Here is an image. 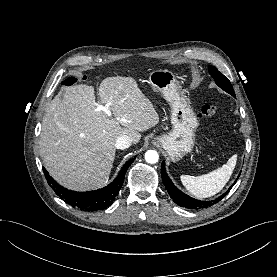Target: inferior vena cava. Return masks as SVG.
<instances>
[{
    "label": "inferior vena cava",
    "mask_w": 277,
    "mask_h": 277,
    "mask_svg": "<svg viewBox=\"0 0 277 277\" xmlns=\"http://www.w3.org/2000/svg\"><path fill=\"white\" fill-rule=\"evenodd\" d=\"M132 144L131 138L127 135L120 136L115 143L117 149H126Z\"/></svg>",
    "instance_id": "inferior-vena-cava-1"
}]
</instances>
